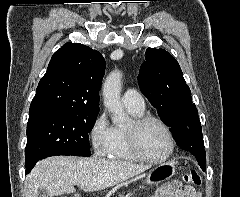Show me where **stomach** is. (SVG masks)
<instances>
[{
    "label": "stomach",
    "mask_w": 240,
    "mask_h": 197,
    "mask_svg": "<svg viewBox=\"0 0 240 197\" xmlns=\"http://www.w3.org/2000/svg\"><path fill=\"white\" fill-rule=\"evenodd\" d=\"M175 174V163L166 164L152 169L146 176L149 185L161 183Z\"/></svg>",
    "instance_id": "0dacf381"
}]
</instances>
